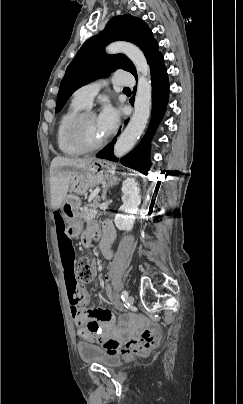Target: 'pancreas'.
Returning a JSON list of instances; mask_svg holds the SVG:
<instances>
[{
  "label": "pancreas",
  "instance_id": "obj_1",
  "mask_svg": "<svg viewBox=\"0 0 243 404\" xmlns=\"http://www.w3.org/2000/svg\"><path fill=\"white\" fill-rule=\"evenodd\" d=\"M99 196H96L95 200H93L92 204H86L84 210H82L81 214L84 218V223L90 222L93 218L97 216V208L99 206Z\"/></svg>",
  "mask_w": 243,
  "mask_h": 404
}]
</instances>
